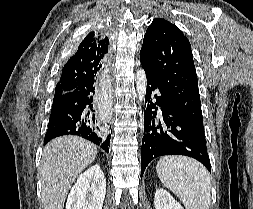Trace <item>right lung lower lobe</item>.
<instances>
[{
	"label": "right lung lower lobe",
	"instance_id": "98d812e1",
	"mask_svg": "<svg viewBox=\"0 0 253 209\" xmlns=\"http://www.w3.org/2000/svg\"><path fill=\"white\" fill-rule=\"evenodd\" d=\"M96 82L94 78L74 90L54 95L44 145L59 136L76 135L109 152L111 135L95 115Z\"/></svg>",
	"mask_w": 253,
	"mask_h": 209
}]
</instances>
